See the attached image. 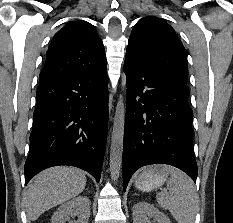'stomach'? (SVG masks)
Returning a JSON list of instances; mask_svg holds the SVG:
<instances>
[{
    "label": "stomach",
    "instance_id": "obj_1",
    "mask_svg": "<svg viewBox=\"0 0 233 223\" xmlns=\"http://www.w3.org/2000/svg\"><path fill=\"white\" fill-rule=\"evenodd\" d=\"M169 169L166 165H150L141 171L135 179V187L140 191H156L162 187L168 177Z\"/></svg>",
    "mask_w": 233,
    "mask_h": 223
}]
</instances>
